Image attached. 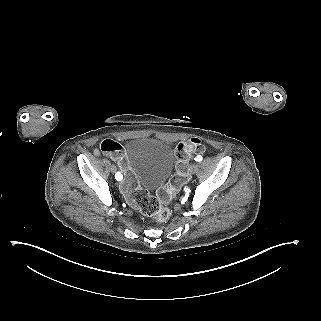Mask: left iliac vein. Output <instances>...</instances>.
<instances>
[{"label":"left iliac vein","mask_w":321,"mask_h":321,"mask_svg":"<svg viewBox=\"0 0 321 321\" xmlns=\"http://www.w3.org/2000/svg\"><path fill=\"white\" fill-rule=\"evenodd\" d=\"M197 170H198L197 165L192 164V165L190 166L189 171H190L191 174H195V173L197 172Z\"/></svg>","instance_id":"left-iliac-vein-1"}]
</instances>
